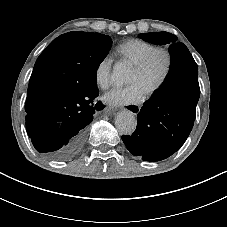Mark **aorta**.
Returning <instances> with one entry per match:
<instances>
[{
    "label": "aorta",
    "mask_w": 227,
    "mask_h": 227,
    "mask_svg": "<svg viewBox=\"0 0 227 227\" xmlns=\"http://www.w3.org/2000/svg\"><path fill=\"white\" fill-rule=\"evenodd\" d=\"M129 78V69L123 64H116L113 68L111 79L114 83L120 84ZM117 129L124 134H131L136 129L137 119L133 112L124 110L115 118Z\"/></svg>",
    "instance_id": "762f6f07"
}]
</instances>
